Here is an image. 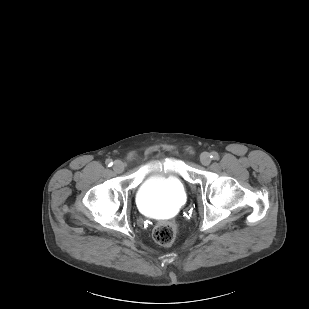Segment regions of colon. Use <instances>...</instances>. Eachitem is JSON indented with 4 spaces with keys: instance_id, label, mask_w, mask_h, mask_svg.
Wrapping results in <instances>:
<instances>
[{
    "instance_id": "1",
    "label": "colon",
    "mask_w": 309,
    "mask_h": 309,
    "mask_svg": "<svg viewBox=\"0 0 309 309\" xmlns=\"http://www.w3.org/2000/svg\"><path fill=\"white\" fill-rule=\"evenodd\" d=\"M177 236V227L172 221H163L153 230V238L160 245L172 244Z\"/></svg>"
}]
</instances>
